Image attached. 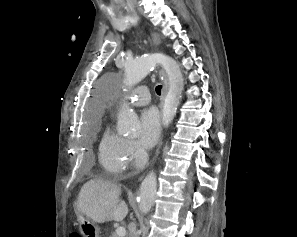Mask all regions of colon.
<instances>
[{
    "mask_svg": "<svg viewBox=\"0 0 297 237\" xmlns=\"http://www.w3.org/2000/svg\"><path fill=\"white\" fill-rule=\"evenodd\" d=\"M70 237H80V235L77 234V233H74V234H72Z\"/></svg>",
    "mask_w": 297,
    "mask_h": 237,
    "instance_id": "5ec220e1",
    "label": "colon"
}]
</instances>
